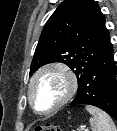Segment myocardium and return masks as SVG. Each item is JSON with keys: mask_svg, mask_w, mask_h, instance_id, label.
<instances>
[{"mask_svg": "<svg viewBox=\"0 0 117 131\" xmlns=\"http://www.w3.org/2000/svg\"><path fill=\"white\" fill-rule=\"evenodd\" d=\"M49 72H58L61 75H63L64 78L66 79L67 89H66L65 95L62 97V99L56 105H54L52 108H50L48 110L41 111L37 108L36 102L34 99V92H33L34 85H35L36 81L42 75L49 73ZM77 88H78L77 77L69 67H67L65 64H62V63L47 64V65L41 67L39 70H37L29 82V85H28L29 103H30L32 109L36 113L41 114V115L50 114V113L57 111L58 109L63 107L66 103H68L72 99V97L75 95Z\"/></svg>", "mask_w": 117, "mask_h": 131, "instance_id": "1", "label": "myocardium"}]
</instances>
